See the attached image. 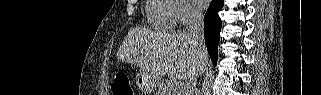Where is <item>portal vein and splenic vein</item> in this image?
I'll return each instance as SVG.
<instances>
[{"label": "portal vein and splenic vein", "instance_id": "portal-vein-and-splenic-vein-1", "mask_svg": "<svg viewBox=\"0 0 321 95\" xmlns=\"http://www.w3.org/2000/svg\"><path fill=\"white\" fill-rule=\"evenodd\" d=\"M169 84H170V86H171L172 88H178V87H179L178 82H177V79H172V80H170Z\"/></svg>", "mask_w": 321, "mask_h": 95}]
</instances>
